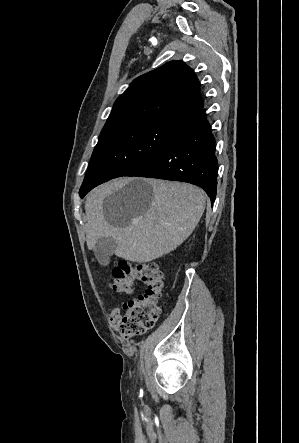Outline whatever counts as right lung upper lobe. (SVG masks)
I'll list each match as a JSON object with an SVG mask.
<instances>
[{
  "label": "right lung upper lobe",
  "mask_w": 299,
  "mask_h": 443,
  "mask_svg": "<svg viewBox=\"0 0 299 443\" xmlns=\"http://www.w3.org/2000/svg\"><path fill=\"white\" fill-rule=\"evenodd\" d=\"M202 107L199 81L181 61H171L136 78L116 100L100 135L143 119L182 121Z\"/></svg>",
  "instance_id": "right-lung-upper-lobe-1"
}]
</instances>
